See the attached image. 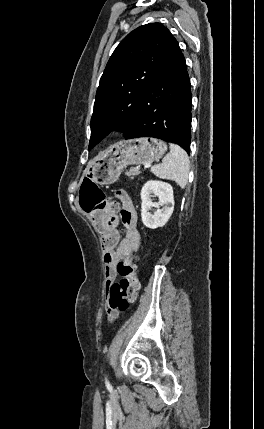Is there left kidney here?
<instances>
[{
    "instance_id": "1",
    "label": "left kidney",
    "mask_w": 264,
    "mask_h": 429,
    "mask_svg": "<svg viewBox=\"0 0 264 429\" xmlns=\"http://www.w3.org/2000/svg\"><path fill=\"white\" fill-rule=\"evenodd\" d=\"M158 197L159 202H152L151 196ZM141 217L143 224L150 229L163 227L171 217L174 210L173 188L170 184L158 180L147 181L141 189ZM163 206L162 209H159ZM157 210L151 214V208Z\"/></svg>"
}]
</instances>
